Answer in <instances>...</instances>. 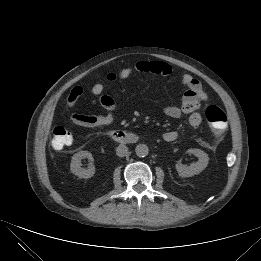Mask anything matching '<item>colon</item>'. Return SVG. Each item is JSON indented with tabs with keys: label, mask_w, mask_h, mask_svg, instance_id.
I'll use <instances>...</instances> for the list:
<instances>
[{
	"label": "colon",
	"mask_w": 261,
	"mask_h": 261,
	"mask_svg": "<svg viewBox=\"0 0 261 261\" xmlns=\"http://www.w3.org/2000/svg\"><path fill=\"white\" fill-rule=\"evenodd\" d=\"M109 78L113 79L114 75L111 74ZM204 115L214 134L216 136L223 135L227 128V116L224 111L216 105H209L206 107ZM72 142L73 135L68 129L62 126L54 128L51 139V145L54 149H63Z\"/></svg>",
	"instance_id": "5ec220e1"
}]
</instances>
